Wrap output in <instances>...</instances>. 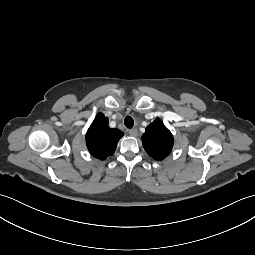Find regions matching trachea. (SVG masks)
I'll return each instance as SVG.
<instances>
[{"instance_id":"obj_1","label":"trachea","mask_w":255,"mask_h":255,"mask_svg":"<svg viewBox=\"0 0 255 255\" xmlns=\"http://www.w3.org/2000/svg\"><path fill=\"white\" fill-rule=\"evenodd\" d=\"M124 124L127 128H132L134 125V120L131 116H127L124 120Z\"/></svg>"}]
</instances>
